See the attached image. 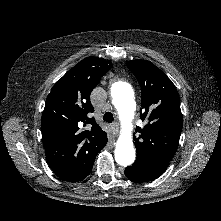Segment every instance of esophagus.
<instances>
[{"mask_svg": "<svg viewBox=\"0 0 221 221\" xmlns=\"http://www.w3.org/2000/svg\"><path fill=\"white\" fill-rule=\"evenodd\" d=\"M111 128H112V132H113L114 137L117 136L118 132H119V124L115 122L111 125ZM113 141H114V139H113Z\"/></svg>", "mask_w": 221, "mask_h": 221, "instance_id": "obj_1", "label": "esophagus"}]
</instances>
